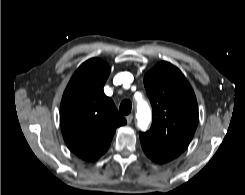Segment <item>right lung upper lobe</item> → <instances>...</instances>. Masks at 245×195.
I'll list each match as a JSON object with an SVG mask.
<instances>
[{"instance_id":"right-lung-upper-lobe-1","label":"right lung upper lobe","mask_w":245,"mask_h":195,"mask_svg":"<svg viewBox=\"0 0 245 195\" xmlns=\"http://www.w3.org/2000/svg\"><path fill=\"white\" fill-rule=\"evenodd\" d=\"M108 64L98 58L76 70L63 94L61 129L68 148L85 161L99 159L109 148L116 128L126 124L113 101L103 92Z\"/></svg>"}]
</instances>
